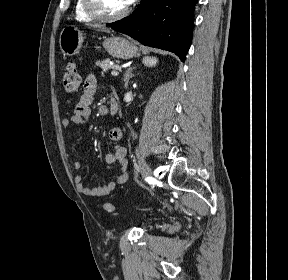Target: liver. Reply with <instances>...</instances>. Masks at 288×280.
Listing matches in <instances>:
<instances>
[{"label": "liver", "instance_id": "liver-1", "mask_svg": "<svg viewBox=\"0 0 288 280\" xmlns=\"http://www.w3.org/2000/svg\"><path fill=\"white\" fill-rule=\"evenodd\" d=\"M91 27H94V28H98L100 29L101 31H105V32H108L109 30L107 28H105L104 26L102 25H90Z\"/></svg>", "mask_w": 288, "mask_h": 280}]
</instances>
